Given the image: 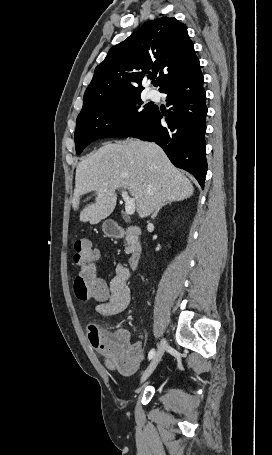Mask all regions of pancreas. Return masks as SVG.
<instances>
[{
	"label": "pancreas",
	"mask_w": 272,
	"mask_h": 455,
	"mask_svg": "<svg viewBox=\"0 0 272 455\" xmlns=\"http://www.w3.org/2000/svg\"><path fill=\"white\" fill-rule=\"evenodd\" d=\"M126 241H129V237H126ZM133 252V247H125V253L130 254Z\"/></svg>",
	"instance_id": "pancreas-1"
}]
</instances>
